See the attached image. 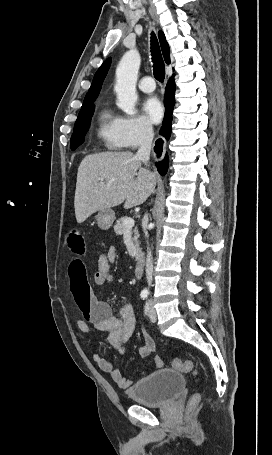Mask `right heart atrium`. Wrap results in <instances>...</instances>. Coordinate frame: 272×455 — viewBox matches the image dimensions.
Listing matches in <instances>:
<instances>
[{
	"instance_id": "obj_1",
	"label": "right heart atrium",
	"mask_w": 272,
	"mask_h": 455,
	"mask_svg": "<svg viewBox=\"0 0 272 455\" xmlns=\"http://www.w3.org/2000/svg\"><path fill=\"white\" fill-rule=\"evenodd\" d=\"M118 133L123 147L133 149L151 140L153 128L149 121L141 116L119 117Z\"/></svg>"
}]
</instances>
